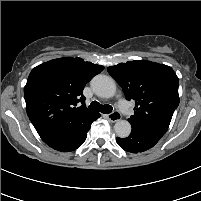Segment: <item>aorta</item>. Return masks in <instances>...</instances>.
Wrapping results in <instances>:
<instances>
[{
  "label": "aorta",
  "instance_id": "aorta-1",
  "mask_svg": "<svg viewBox=\"0 0 201 201\" xmlns=\"http://www.w3.org/2000/svg\"><path fill=\"white\" fill-rule=\"evenodd\" d=\"M94 93L101 98H111L116 93V83L113 78L99 74L91 81ZM115 133L120 138H126L131 133V124L127 120H118L114 125Z\"/></svg>",
  "mask_w": 201,
  "mask_h": 201
}]
</instances>
